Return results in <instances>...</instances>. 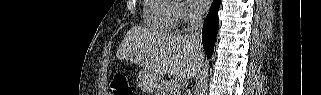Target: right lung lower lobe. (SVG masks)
I'll return each instance as SVG.
<instances>
[{
    "mask_svg": "<svg viewBox=\"0 0 321 95\" xmlns=\"http://www.w3.org/2000/svg\"><path fill=\"white\" fill-rule=\"evenodd\" d=\"M219 7H220V0H213V4L205 19L203 30H202L203 46L209 58L213 53L216 35L218 32V14L217 13H218Z\"/></svg>",
    "mask_w": 321,
    "mask_h": 95,
    "instance_id": "98d812e1",
    "label": "right lung lower lobe"
}]
</instances>
